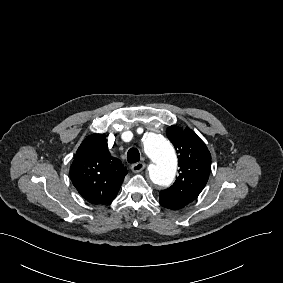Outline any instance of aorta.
Instances as JSON below:
<instances>
[{
  "instance_id": "obj_1",
  "label": "aorta",
  "mask_w": 283,
  "mask_h": 283,
  "mask_svg": "<svg viewBox=\"0 0 283 283\" xmlns=\"http://www.w3.org/2000/svg\"><path fill=\"white\" fill-rule=\"evenodd\" d=\"M144 151L151 159L149 176L154 184L169 186L176 175L177 157L172 144L163 136L149 133L145 138Z\"/></svg>"
}]
</instances>
